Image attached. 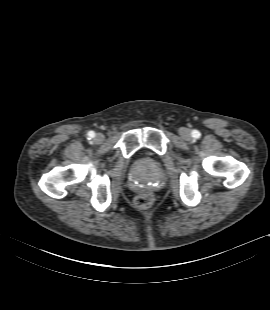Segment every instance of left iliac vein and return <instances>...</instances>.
Instances as JSON below:
<instances>
[{
    "instance_id": "1",
    "label": "left iliac vein",
    "mask_w": 270,
    "mask_h": 310,
    "mask_svg": "<svg viewBox=\"0 0 270 310\" xmlns=\"http://www.w3.org/2000/svg\"><path fill=\"white\" fill-rule=\"evenodd\" d=\"M179 135L184 140H190L191 139V131L188 128H181L179 130Z\"/></svg>"
}]
</instances>
